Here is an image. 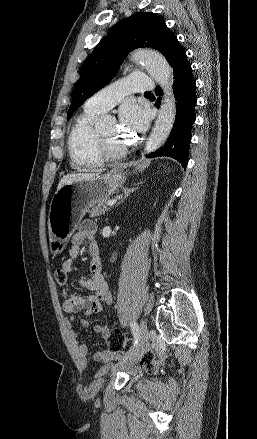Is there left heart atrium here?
<instances>
[{"instance_id": "1", "label": "left heart atrium", "mask_w": 257, "mask_h": 439, "mask_svg": "<svg viewBox=\"0 0 257 439\" xmlns=\"http://www.w3.org/2000/svg\"><path fill=\"white\" fill-rule=\"evenodd\" d=\"M120 122L124 132L135 137L146 130L148 115L141 106L130 103L121 108Z\"/></svg>"}]
</instances>
